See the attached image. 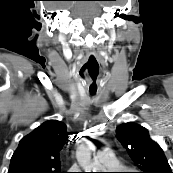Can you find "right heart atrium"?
Segmentation results:
<instances>
[{"instance_id":"1","label":"right heart atrium","mask_w":173,"mask_h":173,"mask_svg":"<svg viewBox=\"0 0 173 173\" xmlns=\"http://www.w3.org/2000/svg\"><path fill=\"white\" fill-rule=\"evenodd\" d=\"M72 169L76 170L78 167H72ZM73 173H80L79 171L73 172Z\"/></svg>"}]
</instances>
